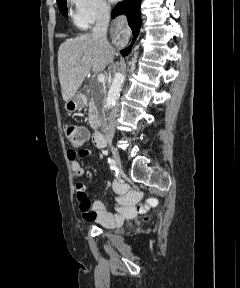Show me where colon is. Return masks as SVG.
I'll list each match as a JSON object with an SVG mask.
<instances>
[{
	"label": "colon",
	"instance_id": "5ec220e1",
	"mask_svg": "<svg viewBox=\"0 0 240 288\" xmlns=\"http://www.w3.org/2000/svg\"><path fill=\"white\" fill-rule=\"evenodd\" d=\"M63 131L68 142L73 146L82 144L86 140L85 130L70 122L63 124Z\"/></svg>",
	"mask_w": 240,
	"mask_h": 288
}]
</instances>
